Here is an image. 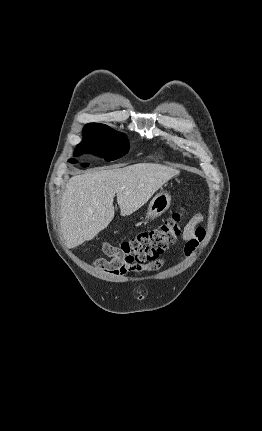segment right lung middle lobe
<instances>
[{
    "mask_svg": "<svg viewBox=\"0 0 262 431\" xmlns=\"http://www.w3.org/2000/svg\"><path fill=\"white\" fill-rule=\"evenodd\" d=\"M83 137V141L77 145L76 156L88 152L99 155L106 161H113L128 152L129 146L126 136L106 125L85 126ZM69 162L77 163V160L69 159ZM88 165V163L82 164L83 167Z\"/></svg>",
    "mask_w": 262,
    "mask_h": 431,
    "instance_id": "right-lung-middle-lobe-1",
    "label": "right lung middle lobe"
}]
</instances>
